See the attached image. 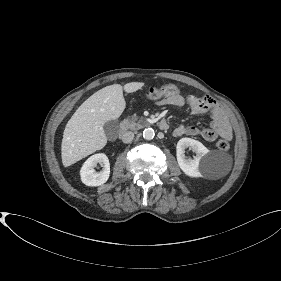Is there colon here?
I'll list each match as a JSON object with an SVG mask.
<instances>
[{
    "instance_id": "5ec220e1",
    "label": "colon",
    "mask_w": 281,
    "mask_h": 281,
    "mask_svg": "<svg viewBox=\"0 0 281 281\" xmlns=\"http://www.w3.org/2000/svg\"><path fill=\"white\" fill-rule=\"evenodd\" d=\"M177 93V88L175 85L167 84L162 86H154L145 90V97L148 100H159L162 97L171 96ZM216 146L219 150L226 151L229 149L230 144L227 139H219L216 142Z\"/></svg>"
}]
</instances>
